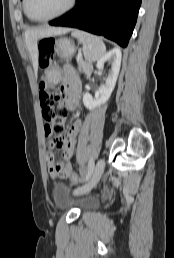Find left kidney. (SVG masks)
Here are the masks:
<instances>
[{
  "label": "left kidney",
  "mask_w": 174,
  "mask_h": 258,
  "mask_svg": "<svg viewBox=\"0 0 174 258\" xmlns=\"http://www.w3.org/2000/svg\"><path fill=\"white\" fill-rule=\"evenodd\" d=\"M121 57L122 54L120 49L113 48L98 60L96 65L98 70H101L104 63L107 61H110L112 66L108 76L106 77L105 84L100 86L99 95L94 99L89 93L84 94L83 103L87 109H95L96 107L104 104L110 98L120 71Z\"/></svg>",
  "instance_id": "left-kidney-1"
}]
</instances>
